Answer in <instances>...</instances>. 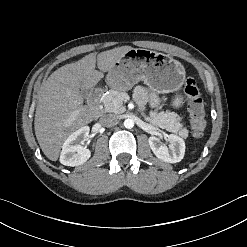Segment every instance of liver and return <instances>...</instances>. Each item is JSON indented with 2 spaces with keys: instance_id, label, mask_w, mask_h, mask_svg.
Listing matches in <instances>:
<instances>
[{
  "instance_id": "1",
  "label": "liver",
  "mask_w": 247,
  "mask_h": 247,
  "mask_svg": "<svg viewBox=\"0 0 247 247\" xmlns=\"http://www.w3.org/2000/svg\"><path fill=\"white\" fill-rule=\"evenodd\" d=\"M131 46H121L90 53L77 62L54 71L43 83L37 104L34 129L45 156L56 161L63 142L78 128L91 123L97 115L94 108L83 105L81 90L93 88L104 72L114 66ZM96 64L100 71L95 70Z\"/></svg>"
}]
</instances>
